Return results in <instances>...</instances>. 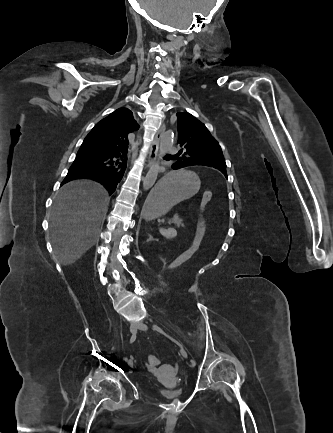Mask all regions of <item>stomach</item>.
<instances>
[{
    "mask_svg": "<svg viewBox=\"0 0 333 433\" xmlns=\"http://www.w3.org/2000/svg\"><path fill=\"white\" fill-rule=\"evenodd\" d=\"M196 169H170L153 183L143 209V220H164L184 199H193L200 187Z\"/></svg>",
    "mask_w": 333,
    "mask_h": 433,
    "instance_id": "obj_1",
    "label": "stomach"
}]
</instances>
